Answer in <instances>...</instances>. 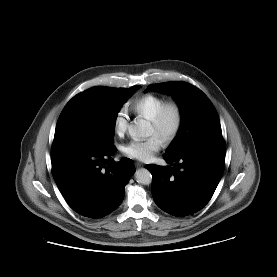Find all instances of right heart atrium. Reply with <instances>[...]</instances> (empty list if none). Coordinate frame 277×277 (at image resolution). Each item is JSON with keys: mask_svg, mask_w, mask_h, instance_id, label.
Listing matches in <instances>:
<instances>
[{"mask_svg": "<svg viewBox=\"0 0 277 277\" xmlns=\"http://www.w3.org/2000/svg\"><path fill=\"white\" fill-rule=\"evenodd\" d=\"M128 128V115L124 109H120L114 116L113 129L118 136H123Z\"/></svg>", "mask_w": 277, "mask_h": 277, "instance_id": "d8ad5b80", "label": "right heart atrium"}]
</instances>
